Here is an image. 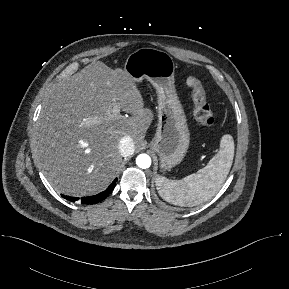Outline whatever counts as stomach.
Segmentation results:
<instances>
[{
  "label": "stomach",
  "instance_id": "1",
  "mask_svg": "<svg viewBox=\"0 0 289 289\" xmlns=\"http://www.w3.org/2000/svg\"><path fill=\"white\" fill-rule=\"evenodd\" d=\"M175 68L168 53L148 47L131 53L124 65V71L135 82L147 79L156 89L158 124L151 147L158 153L163 171L181 163L190 142L186 116L174 84Z\"/></svg>",
  "mask_w": 289,
  "mask_h": 289
}]
</instances>
